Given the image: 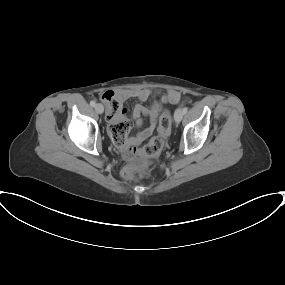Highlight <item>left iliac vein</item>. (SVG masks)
<instances>
[{
    "mask_svg": "<svg viewBox=\"0 0 285 285\" xmlns=\"http://www.w3.org/2000/svg\"><path fill=\"white\" fill-rule=\"evenodd\" d=\"M183 111L181 109H177L174 113V119L176 123L181 122L182 118H183Z\"/></svg>",
    "mask_w": 285,
    "mask_h": 285,
    "instance_id": "left-iliac-vein-1",
    "label": "left iliac vein"
}]
</instances>
